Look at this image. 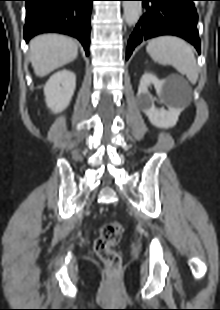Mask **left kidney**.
<instances>
[{"label": "left kidney", "instance_id": "1", "mask_svg": "<svg viewBox=\"0 0 220 310\" xmlns=\"http://www.w3.org/2000/svg\"><path fill=\"white\" fill-rule=\"evenodd\" d=\"M154 85L156 92L163 96L166 91V80H159L151 73H144L140 80L138 99L143 112L148 116L151 124L158 128L174 127L180 115V109L169 107L157 109L154 105V98L150 95L148 87Z\"/></svg>", "mask_w": 220, "mask_h": 310}]
</instances>
